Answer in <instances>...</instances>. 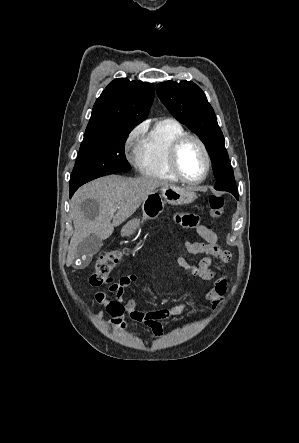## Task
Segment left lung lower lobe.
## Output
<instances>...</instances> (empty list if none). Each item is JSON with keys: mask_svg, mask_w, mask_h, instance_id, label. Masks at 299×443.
Instances as JSON below:
<instances>
[{"mask_svg": "<svg viewBox=\"0 0 299 443\" xmlns=\"http://www.w3.org/2000/svg\"><path fill=\"white\" fill-rule=\"evenodd\" d=\"M231 193H232V194L236 197V199L238 200V198H239L238 191H232Z\"/></svg>", "mask_w": 299, "mask_h": 443, "instance_id": "obj_1", "label": "left lung lower lobe"}]
</instances>
